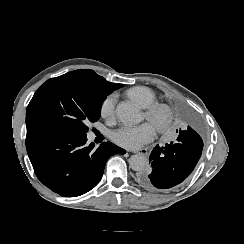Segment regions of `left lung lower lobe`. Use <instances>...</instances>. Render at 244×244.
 <instances>
[{
  "label": "left lung lower lobe",
  "instance_id": "left-lung-lower-lobe-1",
  "mask_svg": "<svg viewBox=\"0 0 244 244\" xmlns=\"http://www.w3.org/2000/svg\"><path fill=\"white\" fill-rule=\"evenodd\" d=\"M182 129L176 130L178 137L164 147L157 145L151 152V170L138 175L139 182L146 188H172L183 182L194 170L203 149L198 121L183 115Z\"/></svg>",
  "mask_w": 244,
  "mask_h": 244
}]
</instances>
